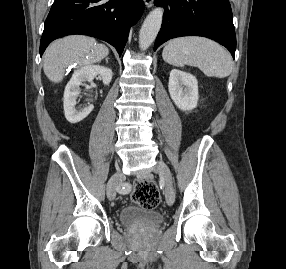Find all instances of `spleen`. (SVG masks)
Listing matches in <instances>:
<instances>
[{"label": "spleen", "mask_w": 286, "mask_h": 269, "mask_svg": "<svg viewBox=\"0 0 286 269\" xmlns=\"http://www.w3.org/2000/svg\"><path fill=\"white\" fill-rule=\"evenodd\" d=\"M162 57L173 66L198 67L208 77L224 78L233 70V61L226 49L204 37L172 39L164 47Z\"/></svg>", "instance_id": "obj_1"}]
</instances>
